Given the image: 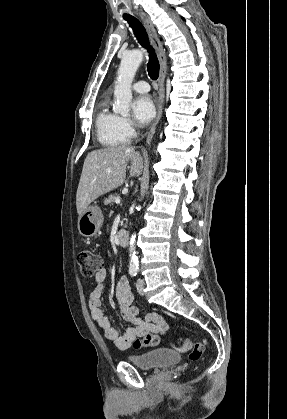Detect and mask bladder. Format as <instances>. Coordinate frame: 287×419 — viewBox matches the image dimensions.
Wrapping results in <instances>:
<instances>
[{
    "mask_svg": "<svg viewBox=\"0 0 287 419\" xmlns=\"http://www.w3.org/2000/svg\"><path fill=\"white\" fill-rule=\"evenodd\" d=\"M180 357L167 348L155 349L138 356H131L129 362L144 370H162L179 363Z\"/></svg>",
    "mask_w": 287,
    "mask_h": 419,
    "instance_id": "bladder-1",
    "label": "bladder"
}]
</instances>
